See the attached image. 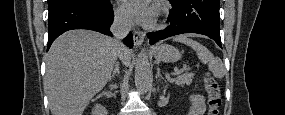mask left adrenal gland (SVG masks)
Returning a JSON list of instances; mask_svg holds the SVG:
<instances>
[{
  "mask_svg": "<svg viewBox=\"0 0 285 115\" xmlns=\"http://www.w3.org/2000/svg\"><path fill=\"white\" fill-rule=\"evenodd\" d=\"M156 78L158 77H161L162 78V75L160 74V68H157V73H156Z\"/></svg>",
  "mask_w": 285,
  "mask_h": 115,
  "instance_id": "a2214340",
  "label": "left adrenal gland"
}]
</instances>
